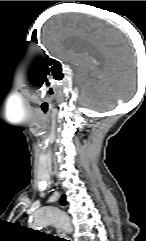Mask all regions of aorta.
<instances>
[{"label": "aorta", "instance_id": "aorta-1", "mask_svg": "<svg viewBox=\"0 0 146 241\" xmlns=\"http://www.w3.org/2000/svg\"><path fill=\"white\" fill-rule=\"evenodd\" d=\"M29 224L35 229L54 224L67 233L73 231L69 216L63 210L51 206H45L35 211L29 220Z\"/></svg>", "mask_w": 146, "mask_h": 241}]
</instances>
